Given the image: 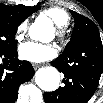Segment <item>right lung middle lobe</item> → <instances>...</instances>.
<instances>
[{"label":"right lung middle lobe","instance_id":"1","mask_svg":"<svg viewBox=\"0 0 103 103\" xmlns=\"http://www.w3.org/2000/svg\"><path fill=\"white\" fill-rule=\"evenodd\" d=\"M40 7L36 6L35 11ZM27 17L15 16L0 7V54H11L17 51L15 35L18 26Z\"/></svg>","mask_w":103,"mask_h":103}]
</instances>
